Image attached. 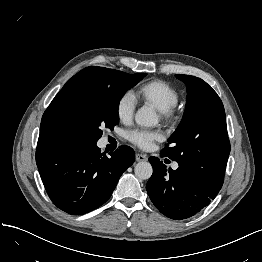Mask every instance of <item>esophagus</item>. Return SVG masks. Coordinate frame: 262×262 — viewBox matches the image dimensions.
Wrapping results in <instances>:
<instances>
[{"mask_svg": "<svg viewBox=\"0 0 262 262\" xmlns=\"http://www.w3.org/2000/svg\"><path fill=\"white\" fill-rule=\"evenodd\" d=\"M147 156L144 154H136V161L141 162V161H147Z\"/></svg>", "mask_w": 262, "mask_h": 262, "instance_id": "esophagus-1", "label": "esophagus"}]
</instances>
